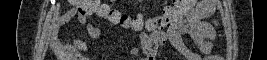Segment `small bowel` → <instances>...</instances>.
Masks as SVG:
<instances>
[{"label":"small bowel","mask_w":267,"mask_h":60,"mask_svg":"<svg viewBox=\"0 0 267 60\" xmlns=\"http://www.w3.org/2000/svg\"><path fill=\"white\" fill-rule=\"evenodd\" d=\"M190 7L186 15L180 20L177 26L165 32L141 33L137 40V45L131 49L133 56L144 55L148 60L159 59L162 56L164 47L171 45L186 60H218L219 56L212 54L213 40L216 37V22H206L204 18L211 16L215 12L214 1L212 0H190ZM77 18L79 22H86L87 16L79 13L75 8L66 11L64 21ZM87 31L91 38L98 39L101 30L92 24L87 25ZM61 30V24H57L55 35ZM182 35H188L198 49L205 55L191 51L184 43ZM56 51L62 56H78L89 49V44L82 38L74 39L72 44L67 40L58 42Z\"/></svg>","instance_id":"obj_1"}]
</instances>
